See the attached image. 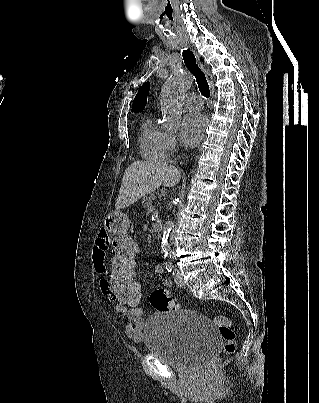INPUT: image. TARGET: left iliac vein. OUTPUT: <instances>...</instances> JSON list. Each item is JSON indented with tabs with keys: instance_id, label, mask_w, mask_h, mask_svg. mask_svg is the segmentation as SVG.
I'll list each match as a JSON object with an SVG mask.
<instances>
[{
	"instance_id": "4c4485c4",
	"label": "left iliac vein",
	"mask_w": 319,
	"mask_h": 403,
	"mask_svg": "<svg viewBox=\"0 0 319 403\" xmlns=\"http://www.w3.org/2000/svg\"><path fill=\"white\" fill-rule=\"evenodd\" d=\"M174 278L176 284L181 287V288H186V283L182 278L181 272L178 269H175L174 271Z\"/></svg>"
}]
</instances>
